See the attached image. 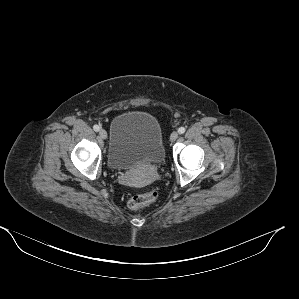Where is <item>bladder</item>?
Returning a JSON list of instances; mask_svg holds the SVG:
<instances>
[{"mask_svg":"<svg viewBox=\"0 0 299 299\" xmlns=\"http://www.w3.org/2000/svg\"><path fill=\"white\" fill-rule=\"evenodd\" d=\"M165 158L158 120L149 113L130 111L117 116L111 125L108 163L114 170L140 164H161Z\"/></svg>","mask_w":299,"mask_h":299,"instance_id":"1","label":"bladder"}]
</instances>
